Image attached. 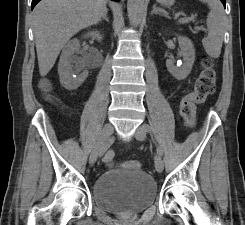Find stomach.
I'll use <instances>...</instances> for the list:
<instances>
[{
	"label": "stomach",
	"instance_id": "obj_1",
	"mask_svg": "<svg viewBox=\"0 0 245 225\" xmlns=\"http://www.w3.org/2000/svg\"><path fill=\"white\" fill-rule=\"evenodd\" d=\"M174 3V0H164V4L166 5H172Z\"/></svg>",
	"mask_w": 245,
	"mask_h": 225
}]
</instances>
